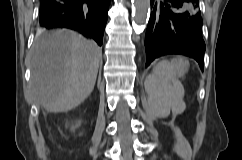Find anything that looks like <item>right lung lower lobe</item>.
Listing matches in <instances>:
<instances>
[{
	"instance_id": "1",
	"label": "right lung lower lobe",
	"mask_w": 242,
	"mask_h": 160,
	"mask_svg": "<svg viewBox=\"0 0 242 160\" xmlns=\"http://www.w3.org/2000/svg\"><path fill=\"white\" fill-rule=\"evenodd\" d=\"M109 4L110 0H41L40 26L72 29L101 46Z\"/></svg>"
}]
</instances>
